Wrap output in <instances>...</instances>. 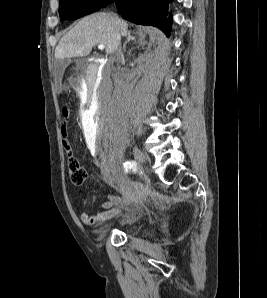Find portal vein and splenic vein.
Listing matches in <instances>:
<instances>
[{"mask_svg": "<svg viewBox=\"0 0 267 298\" xmlns=\"http://www.w3.org/2000/svg\"><path fill=\"white\" fill-rule=\"evenodd\" d=\"M104 48H105V46H104L103 44H99V45H98V49H99V50H103Z\"/></svg>", "mask_w": 267, "mask_h": 298, "instance_id": "18ae733b", "label": "portal vein and splenic vein"}]
</instances>
